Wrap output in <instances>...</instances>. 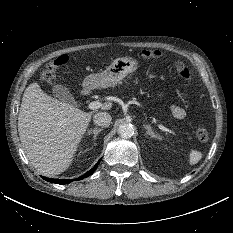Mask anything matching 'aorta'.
Returning <instances> with one entry per match:
<instances>
[{"mask_svg": "<svg viewBox=\"0 0 233 233\" xmlns=\"http://www.w3.org/2000/svg\"><path fill=\"white\" fill-rule=\"evenodd\" d=\"M118 134L123 138H130L134 134V127L130 123H123L119 125Z\"/></svg>", "mask_w": 233, "mask_h": 233, "instance_id": "aorta-1", "label": "aorta"}]
</instances>
